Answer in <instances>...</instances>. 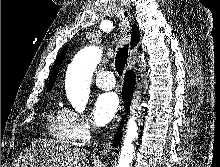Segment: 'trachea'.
I'll return each mask as SVG.
<instances>
[{"mask_svg":"<svg viewBox=\"0 0 220 167\" xmlns=\"http://www.w3.org/2000/svg\"><path fill=\"white\" fill-rule=\"evenodd\" d=\"M128 58V44H125L122 48H119L116 55L115 68L119 75H122Z\"/></svg>","mask_w":220,"mask_h":167,"instance_id":"1","label":"trachea"}]
</instances>
